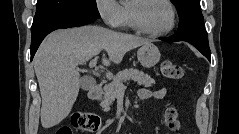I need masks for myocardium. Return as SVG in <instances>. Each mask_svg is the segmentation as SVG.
<instances>
[{
    "label": "myocardium",
    "mask_w": 239,
    "mask_h": 134,
    "mask_svg": "<svg viewBox=\"0 0 239 134\" xmlns=\"http://www.w3.org/2000/svg\"><path fill=\"white\" fill-rule=\"evenodd\" d=\"M150 0H132L129 3L128 9H129V17H130V23L131 26L138 32L148 35V36H154V37H160V36H165L167 34H169L176 25V10L174 5L172 4L171 1L169 0H159L161 2H163L170 10L171 13V21L170 24L167 28H165L164 30H160V31H152L148 28H146L139 17V9L141 8V6Z\"/></svg>",
    "instance_id": "1"
}]
</instances>
